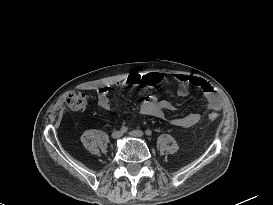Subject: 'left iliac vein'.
I'll use <instances>...</instances> for the list:
<instances>
[{
    "instance_id": "4c4485c4",
    "label": "left iliac vein",
    "mask_w": 273,
    "mask_h": 205,
    "mask_svg": "<svg viewBox=\"0 0 273 205\" xmlns=\"http://www.w3.org/2000/svg\"><path fill=\"white\" fill-rule=\"evenodd\" d=\"M132 137L142 138L144 136V133L141 130H132L129 133Z\"/></svg>"
}]
</instances>
